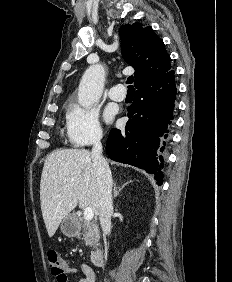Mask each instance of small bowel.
I'll use <instances>...</instances> for the list:
<instances>
[{"label": "small bowel", "instance_id": "c3829d8e", "mask_svg": "<svg viewBox=\"0 0 232 282\" xmlns=\"http://www.w3.org/2000/svg\"><path fill=\"white\" fill-rule=\"evenodd\" d=\"M69 272L74 274H80V277L78 278L77 282H96V275L94 271L85 264H81L78 270H71ZM56 280L57 282H68L67 275H65V278L62 279L56 278Z\"/></svg>", "mask_w": 232, "mask_h": 282}]
</instances>
